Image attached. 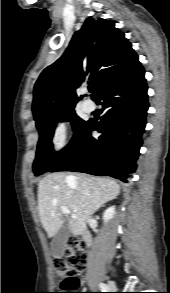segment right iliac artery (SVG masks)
<instances>
[{
    "mask_svg": "<svg viewBox=\"0 0 170 293\" xmlns=\"http://www.w3.org/2000/svg\"><path fill=\"white\" fill-rule=\"evenodd\" d=\"M99 287L101 288V290L103 292H108V290H109L108 286L106 284H104V283H100Z\"/></svg>",
    "mask_w": 170,
    "mask_h": 293,
    "instance_id": "obj_1",
    "label": "right iliac artery"
}]
</instances>
